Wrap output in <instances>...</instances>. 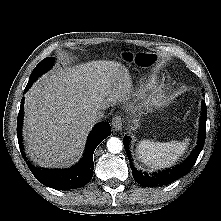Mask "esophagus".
Masks as SVG:
<instances>
[{
	"instance_id": "34e87169",
	"label": "esophagus",
	"mask_w": 221,
	"mask_h": 221,
	"mask_svg": "<svg viewBox=\"0 0 221 221\" xmlns=\"http://www.w3.org/2000/svg\"><path fill=\"white\" fill-rule=\"evenodd\" d=\"M122 126H123L122 118L120 116L113 117L112 127L114 128V130L120 131L122 129Z\"/></svg>"
}]
</instances>
